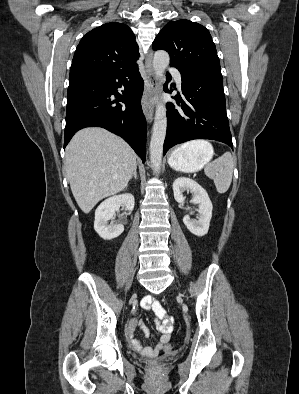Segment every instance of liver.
<instances>
[{
    "label": "liver",
    "instance_id": "obj_1",
    "mask_svg": "<svg viewBox=\"0 0 299 394\" xmlns=\"http://www.w3.org/2000/svg\"><path fill=\"white\" fill-rule=\"evenodd\" d=\"M137 155L121 138L91 127L78 131L66 147V176L84 213L102 199L124 190L131 179Z\"/></svg>",
    "mask_w": 299,
    "mask_h": 394
}]
</instances>
